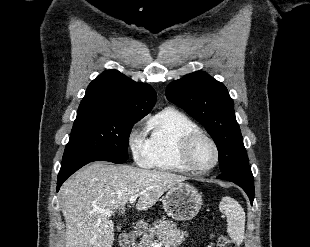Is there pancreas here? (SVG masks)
<instances>
[{
    "label": "pancreas",
    "mask_w": 310,
    "mask_h": 247,
    "mask_svg": "<svg viewBox=\"0 0 310 247\" xmlns=\"http://www.w3.org/2000/svg\"><path fill=\"white\" fill-rule=\"evenodd\" d=\"M188 236L186 231L177 229L175 223L170 220H159L144 233L139 243L135 247H150L153 243H161L165 247H178ZM156 237L158 240H153Z\"/></svg>",
    "instance_id": "obj_1"
}]
</instances>
